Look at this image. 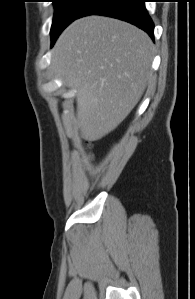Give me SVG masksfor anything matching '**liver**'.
Returning <instances> with one entry per match:
<instances>
[{
    "label": "liver",
    "instance_id": "6515ba94",
    "mask_svg": "<svg viewBox=\"0 0 195 299\" xmlns=\"http://www.w3.org/2000/svg\"><path fill=\"white\" fill-rule=\"evenodd\" d=\"M153 49L142 30L102 16L78 19L60 35L51 68L77 91L85 140L106 136L138 103L152 76Z\"/></svg>",
    "mask_w": 195,
    "mask_h": 299
}]
</instances>
